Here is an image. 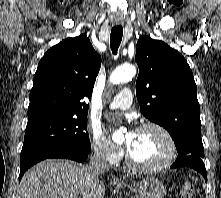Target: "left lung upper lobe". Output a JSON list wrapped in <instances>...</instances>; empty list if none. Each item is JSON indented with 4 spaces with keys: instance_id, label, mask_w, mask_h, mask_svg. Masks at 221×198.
Masks as SVG:
<instances>
[{
    "instance_id": "5c2ea615",
    "label": "left lung upper lobe",
    "mask_w": 221,
    "mask_h": 198,
    "mask_svg": "<svg viewBox=\"0 0 221 198\" xmlns=\"http://www.w3.org/2000/svg\"><path fill=\"white\" fill-rule=\"evenodd\" d=\"M135 60L142 114L170 133L179 156L204 158L197 87L185 58L164 42L143 36Z\"/></svg>"
}]
</instances>
